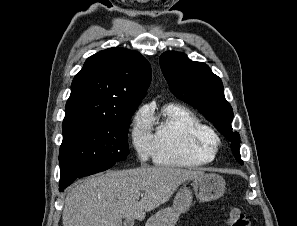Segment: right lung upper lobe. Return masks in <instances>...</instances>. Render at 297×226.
<instances>
[{
  "label": "right lung upper lobe",
  "instance_id": "cb5924a9",
  "mask_svg": "<svg viewBox=\"0 0 297 226\" xmlns=\"http://www.w3.org/2000/svg\"><path fill=\"white\" fill-rule=\"evenodd\" d=\"M150 81V64L140 53L119 47L98 52L73 79L64 121L118 119L140 104Z\"/></svg>",
  "mask_w": 297,
  "mask_h": 226
}]
</instances>
